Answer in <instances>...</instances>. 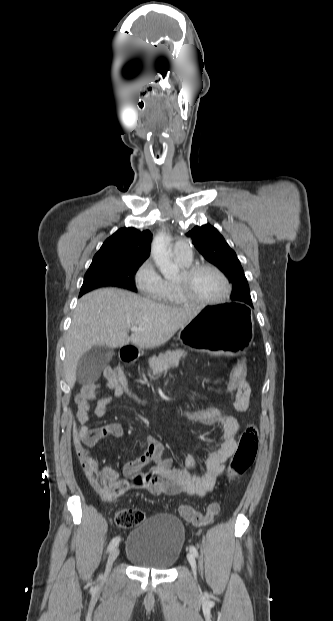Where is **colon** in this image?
I'll return each instance as SVG.
<instances>
[{"label": "colon", "instance_id": "1", "mask_svg": "<svg viewBox=\"0 0 333 621\" xmlns=\"http://www.w3.org/2000/svg\"><path fill=\"white\" fill-rule=\"evenodd\" d=\"M246 363L244 359L237 362L232 370L228 392L234 400V396L241 383L246 379ZM106 376L116 380L123 391V395L128 396L141 405H148L149 401L136 391L123 371L119 368L106 370ZM226 411L218 408H206L200 410L178 409L176 415L193 423L214 426L221 425ZM79 429L74 426V446L81 461L84 473L90 485L103 498L108 500L116 491L113 480L106 474L104 468L100 467L93 458L85 443L78 435ZM259 445V434L256 426L249 425L242 433L238 448L234 453L229 468L228 477L237 479L243 476L253 465ZM182 517L193 526L200 527L209 523L219 512V506L211 503L205 513H200L191 506H183L180 510ZM144 513L139 509L126 508L120 510L115 517L116 524L121 528H132L143 522Z\"/></svg>", "mask_w": 333, "mask_h": 621}]
</instances>
